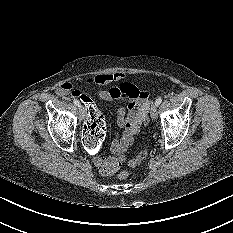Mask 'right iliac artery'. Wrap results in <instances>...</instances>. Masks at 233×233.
<instances>
[{
    "label": "right iliac artery",
    "instance_id": "82829eb1",
    "mask_svg": "<svg viewBox=\"0 0 233 233\" xmlns=\"http://www.w3.org/2000/svg\"><path fill=\"white\" fill-rule=\"evenodd\" d=\"M73 103H74L76 106H78V107L81 106V105H80V102H79L78 100H76V99L73 100Z\"/></svg>",
    "mask_w": 233,
    "mask_h": 233
}]
</instances>
